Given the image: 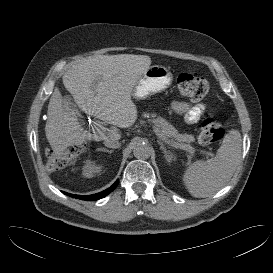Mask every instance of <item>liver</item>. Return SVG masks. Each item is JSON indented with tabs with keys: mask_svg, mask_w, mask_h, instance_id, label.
Instances as JSON below:
<instances>
[{
	"mask_svg": "<svg viewBox=\"0 0 273 273\" xmlns=\"http://www.w3.org/2000/svg\"><path fill=\"white\" fill-rule=\"evenodd\" d=\"M150 64L151 58L147 55H97L69 68L62 80L78 107L113 126L108 132L89 133L56 88L50 97L45 125L46 138L55 155L60 158L69 147L88 140L119 139L117 127H130L137 119L132 90Z\"/></svg>",
	"mask_w": 273,
	"mask_h": 273,
	"instance_id": "1",
	"label": "liver"
}]
</instances>
